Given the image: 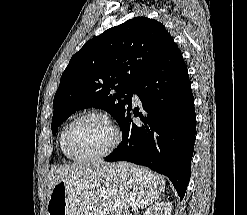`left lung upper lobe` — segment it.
Returning <instances> with one entry per match:
<instances>
[{"label": "left lung upper lobe", "instance_id": "1", "mask_svg": "<svg viewBox=\"0 0 247 215\" xmlns=\"http://www.w3.org/2000/svg\"><path fill=\"white\" fill-rule=\"evenodd\" d=\"M171 40L160 22L136 17L88 41L61 76L53 101V135L72 113L90 107L109 112L121 125L136 86Z\"/></svg>", "mask_w": 247, "mask_h": 215}]
</instances>
